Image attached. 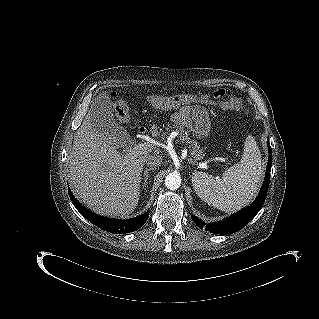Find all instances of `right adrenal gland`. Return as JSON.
I'll list each match as a JSON object with an SVG mask.
<instances>
[{
  "mask_svg": "<svg viewBox=\"0 0 319 319\" xmlns=\"http://www.w3.org/2000/svg\"><path fill=\"white\" fill-rule=\"evenodd\" d=\"M151 170H153L152 168H149V169H146L145 171H144V174H143V177H144V182L142 183V187H143V189L147 186V180H148V177H149V172L151 171Z\"/></svg>",
  "mask_w": 319,
  "mask_h": 319,
  "instance_id": "2a0ac1e0",
  "label": "right adrenal gland"
}]
</instances>
